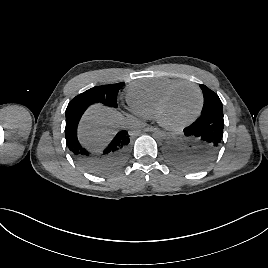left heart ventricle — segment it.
<instances>
[{
    "label": "left heart ventricle",
    "mask_w": 268,
    "mask_h": 268,
    "mask_svg": "<svg viewBox=\"0 0 268 268\" xmlns=\"http://www.w3.org/2000/svg\"><path fill=\"white\" fill-rule=\"evenodd\" d=\"M198 103V93L193 87L180 88L164 106L161 114L162 119L171 124L180 123L195 113Z\"/></svg>",
    "instance_id": "1"
}]
</instances>
